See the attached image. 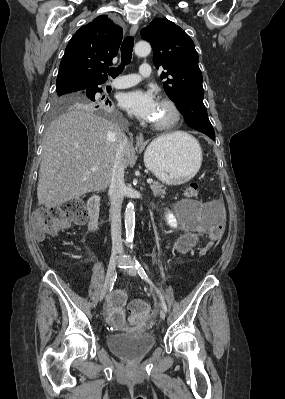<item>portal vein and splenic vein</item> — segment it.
<instances>
[{
    "mask_svg": "<svg viewBox=\"0 0 285 399\" xmlns=\"http://www.w3.org/2000/svg\"><path fill=\"white\" fill-rule=\"evenodd\" d=\"M91 170H92V171H96L97 168H96V167H92ZM147 183H148V184H152V183H153V180L149 178V179H147Z\"/></svg>",
    "mask_w": 285,
    "mask_h": 399,
    "instance_id": "portal-vein-and-splenic-vein-1",
    "label": "portal vein and splenic vein"
}]
</instances>
